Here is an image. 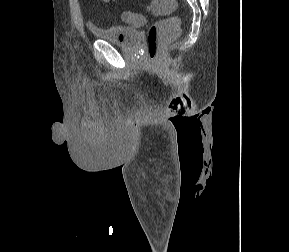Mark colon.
I'll return each instance as SVG.
<instances>
[{
  "mask_svg": "<svg viewBox=\"0 0 289 252\" xmlns=\"http://www.w3.org/2000/svg\"><path fill=\"white\" fill-rule=\"evenodd\" d=\"M175 7V0H152L149 4V10L156 15H170ZM124 20L135 26L143 23V17L137 13L124 14ZM179 30V20L175 17L159 20L150 26L146 36V49L151 62H158L162 48L178 36Z\"/></svg>",
  "mask_w": 289,
  "mask_h": 252,
  "instance_id": "obj_1",
  "label": "colon"
}]
</instances>
